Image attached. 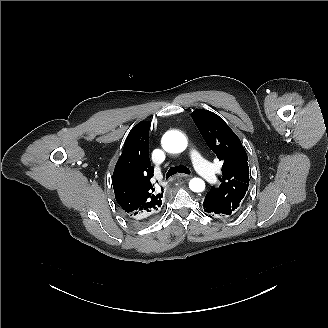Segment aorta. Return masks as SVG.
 Masks as SVG:
<instances>
[{
	"mask_svg": "<svg viewBox=\"0 0 328 328\" xmlns=\"http://www.w3.org/2000/svg\"><path fill=\"white\" fill-rule=\"evenodd\" d=\"M187 139L179 131L171 130L164 134L162 138L163 148L171 153H180L187 148ZM189 188L193 192H202L205 189V182L200 178H193L189 182Z\"/></svg>",
	"mask_w": 328,
	"mask_h": 328,
	"instance_id": "aorta-1",
	"label": "aorta"
}]
</instances>
